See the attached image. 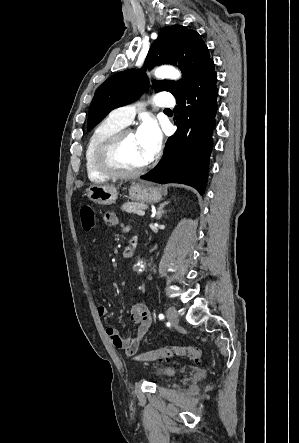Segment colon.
<instances>
[{"instance_id":"colon-1","label":"colon","mask_w":299,"mask_h":443,"mask_svg":"<svg viewBox=\"0 0 299 443\" xmlns=\"http://www.w3.org/2000/svg\"><path fill=\"white\" fill-rule=\"evenodd\" d=\"M79 217L81 227L84 231H91L95 227V213L92 207L82 205L79 208ZM172 356L186 357L191 360H200L201 350L192 346H166L159 349H153L139 354L137 361L144 362L158 359H168Z\"/></svg>"}]
</instances>
